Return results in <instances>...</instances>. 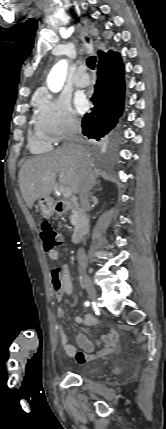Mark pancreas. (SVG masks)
<instances>
[{
    "mask_svg": "<svg viewBox=\"0 0 166 429\" xmlns=\"http://www.w3.org/2000/svg\"><path fill=\"white\" fill-rule=\"evenodd\" d=\"M72 217H73V216H70V219H71V220H72Z\"/></svg>",
    "mask_w": 166,
    "mask_h": 429,
    "instance_id": "obj_1",
    "label": "pancreas"
}]
</instances>
